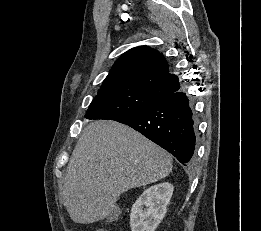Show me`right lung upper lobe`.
Masks as SVG:
<instances>
[{"instance_id":"cb5924a9","label":"right lung upper lobe","mask_w":261,"mask_h":231,"mask_svg":"<svg viewBox=\"0 0 261 231\" xmlns=\"http://www.w3.org/2000/svg\"><path fill=\"white\" fill-rule=\"evenodd\" d=\"M138 87L159 99L179 91L176 75L162 53L148 46H139L124 53L114 64L99 91Z\"/></svg>"}]
</instances>
